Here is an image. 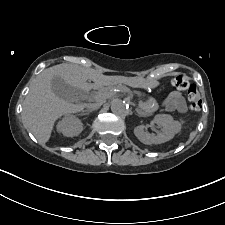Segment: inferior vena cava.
<instances>
[{
	"label": "inferior vena cava",
	"mask_w": 225,
	"mask_h": 225,
	"mask_svg": "<svg viewBox=\"0 0 225 225\" xmlns=\"http://www.w3.org/2000/svg\"><path fill=\"white\" fill-rule=\"evenodd\" d=\"M105 102V98L102 96H97L93 103L87 105L88 109H98Z\"/></svg>",
	"instance_id": "602c4592"
}]
</instances>
